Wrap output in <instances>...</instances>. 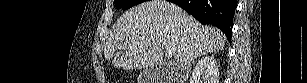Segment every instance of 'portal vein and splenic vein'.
<instances>
[{
  "mask_svg": "<svg viewBox=\"0 0 307 83\" xmlns=\"http://www.w3.org/2000/svg\"><path fill=\"white\" fill-rule=\"evenodd\" d=\"M174 53H175V50H174V49H168V50L166 51V55H168V56H172V55H174Z\"/></svg>",
  "mask_w": 307,
  "mask_h": 83,
  "instance_id": "1",
  "label": "portal vein and splenic vein"
}]
</instances>
